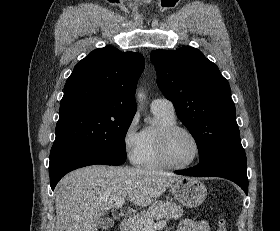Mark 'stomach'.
<instances>
[{
    "mask_svg": "<svg viewBox=\"0 0 280 231\" xmlns=\"http://www.w3.org/2000/svg\"><path fill=\"white\" fill-rule=\"evenodd\" d=\"M172 193L182 205L198 207L207 197V189L195 177H179L172 185Z\"/></svg>",
    "mask_w": 280,
    "mask_h": 231,
    "instance_id": "0dacf381",
    "label": "stomach"
}]
</instances>
